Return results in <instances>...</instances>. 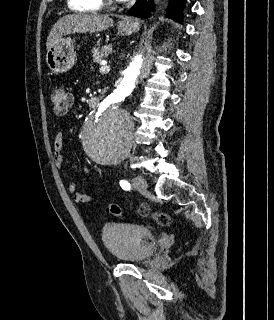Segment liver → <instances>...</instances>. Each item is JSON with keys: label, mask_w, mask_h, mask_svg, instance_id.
Returning <instances> with one entry per match:
<instances>
[{"label": "liver", "mask_w": 274, "mask_h": 320, "mask_svg": "<svg viewBox=\"0 0 274 320\" xmlns=\"http://www.w3.org/2000/svg\"><path fill=\"white\" fill-rule=\"evenodd\" d=\"M113 24L112 18L102 14H68L54 24L47 38L46 48L49 50L66 34H86V32L94 34L108 30Z\"/></svg>", "instance_id": "liver-1"}]
</instances>
